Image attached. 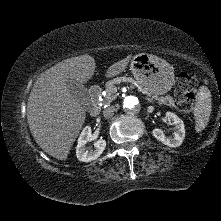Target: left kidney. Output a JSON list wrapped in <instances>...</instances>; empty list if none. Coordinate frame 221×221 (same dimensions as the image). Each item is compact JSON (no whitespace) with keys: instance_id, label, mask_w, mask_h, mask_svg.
<instances>
[{"instance_id":"1","label":"left kidney","mask_w":221,"mask_h":221,"mask_svg":"<svg viewBox=\"0 0 221 221\" xmlns=\"http://www.w3.org/2000/svg\"><path fill=\"white\" fill-rule=\"evenodd\" d=\"M166 119L168 122L174 125L175 131L173 137H166L164 131L159 128H155L152 131L153 136L164 145L169 147H178L182 144L185 138V127L183 121L174 113L167 112Z\"/></svg>"}]
</instances>
